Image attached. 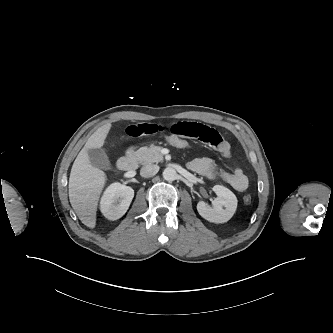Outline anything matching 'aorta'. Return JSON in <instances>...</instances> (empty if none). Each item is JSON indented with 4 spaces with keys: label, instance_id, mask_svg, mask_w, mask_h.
<instances>
[{
    "label": "aorta",
    "instance_id": "1",
    "mask_svg": "<svg viewBox=\"0 0 333 333\" xmlns=\"http://www.w3.org/2000/svg\"><path fill=\"white\" fill-rule=\"evenodd\" d=\"M176 176H177L176 170L173 168L168 167L163 171V178L166 181L171 182L176 179Z\"/></svg>",
    "mask_w": 333,
    "mask_h": 333
}]
</instances>
